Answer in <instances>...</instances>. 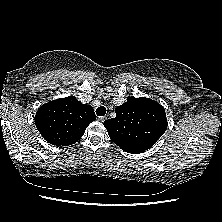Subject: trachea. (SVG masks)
I'll use <instances>...</instances> for the list:
<instances>
[{"label": "trachea", "mask_w": 222, "mask_h": 222, "mask_svg": "<svg viewBox=\"0 0 222 222\" xmlns=\"http://www.w3.org/2000/svg\"><path fill=\"white\" fill-rule=\"evenodd\" d=\"M97 116H104L106 114V108L104 106H100L96 109Z\"/></svg>", "instance_id": "3493384b"}]
</instances>
